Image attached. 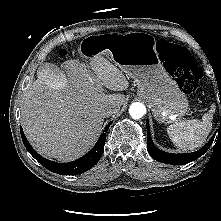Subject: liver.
<instances>
[{
    "mask_svg": "<svg viewBox=\"0 0 221 221\" xmlns=\"http://www.w3.org/2000/svg\"><path fill=\"white\" fill-rule=\"evenodd\" d=\"M48 65L38 68L37 80L24 93L22 127L38 153L69 162L96 142L105 118L102 110L125 103V95L105 94L102 87L122 91L128 81L102 55L90 61L92 74L78 60L66 61L63 70Z\"/></svg>",
    "mask_w": 221,
    "mask_h": 221,
    "instance_id": "obj_1",
    "label": "liver"
}]
</instances>
